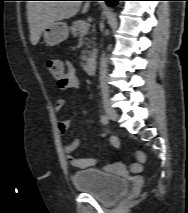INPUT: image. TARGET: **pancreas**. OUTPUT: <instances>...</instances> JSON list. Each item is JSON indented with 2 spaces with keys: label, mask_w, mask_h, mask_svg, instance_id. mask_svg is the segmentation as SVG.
I'll list each match as a JSON object with an SVG mask.
<instances>
[{
  "label": "pancreas",
  "mask_w": 188,
  "mask_h": 213,
  "mask_svg": "<svg viewBox=\"0 0 188 213\" xmlns=\"http://www.w3.org/2000/svg\"><path fill=\"white\" fill-rule=\"evenodd\" d=\"M86 24V22L84 20H77L74 21L72 23V26L70 27V32L72 33V35L74 37H78L82 34L81 30L83 25ZM88 34V31L85 32V35ZM90 43L91 42H86V46L90 47ZM95 51V49L93 50V52ZM88 52L86 50L82 51V56H81V60L82 61H88L89 57L92 55V53H90L88 56L86 55Z\"/></svg>",
  "instance_id": "1"
}]
</instances>
